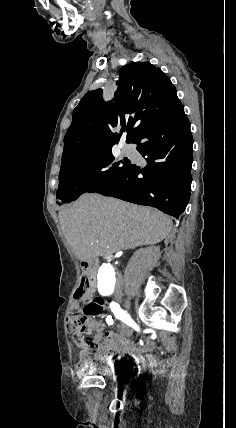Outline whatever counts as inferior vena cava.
<instances>
[{
    "label": "inferior vena cava",
    "mask_w": 236,
    "mask_h": 428,
    "mask_svg": "<svg viewBox=\"0 0 236 428\" xmlns=\"http://www.w3.org/2000/svg\"><path fill=\"white\" fill-rule=\"evenodd\" d=\"M122 287H123V282H122V273L121 272H118L117 273V287L115 288L116 289V296L117 297H122L123 296V294H124V291L122 290Z\"/></svg>",
    "instance_id": "1"
}]
</instances>
